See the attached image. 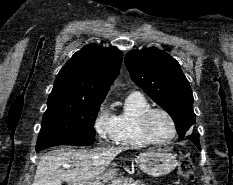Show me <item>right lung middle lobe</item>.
Wrapping results in <instances>:
<instances>
[{
	"instance_id": "1",
	"label": "right lung middle lobe",
	"mask_w": 233,
	"mask_h": 185,
	"mask_svg": "<svg viewBox=\"0 0 233 185\" xmlns=\"http://www.w3.org/2000/svg\"><path fill=\"white\" fill-rule=\"evenodd\" d=\"M103 100L50 95L36 151L56 145L87 146L95 141V121Z\"/></svg>"
}]
</instances>
